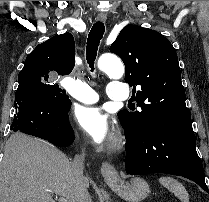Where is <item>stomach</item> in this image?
Instances as JSON below:
<instances>
[{
	"mask_svg": "<svg viewBox=\"0 0 209 202\" xmlns=\"http://www.w3.org/2000/svg\"><path fill=\"white\" fill-rule=\"evenodd\" d=\"M107 182L118 196L129 202H140L150 192L148 183L140 177H134L130 181L107 179Z\"/></svg>",
	"mask_w": 209,
	"mask_h": 202,
	"instance_id": "1",
	"label": "stomach"
}]
</instances>
